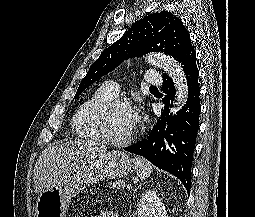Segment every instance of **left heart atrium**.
<instances>
[{"instance_id":"obj_1","label":"left heart atrium","mask_w":255,"mask_h":217,"mask_svg":"<svg viewBox=\"0 0 255 217\" xmlns=\"http://www.w3.org/2000/svg\"><path fill=\"white\" fill-rule=\"evenodd\" d=\"M130 115L135 126L138 124L140 120V111L138 108H130Z\"/></svg>"}]
</instances>
